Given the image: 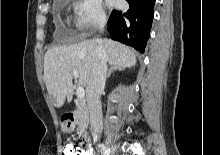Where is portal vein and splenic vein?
Instances as JSON below:
<instances>
[{
  "instance_id": "obj_1",
  "label": "portal vein and splenic vein",
  "mask_w": 220,
  "mask_h": 155,
  "mask_svg": "<svg viewBox=\"0 0 220 155\" xmlns=\"http://www.w3.org/2000/svg\"><path fill=\"white\" fill-rule=\"evenodd\" d=\"M72 74H73V76H74L75 78H78V77H79V73H78L76 70L73 71ZM76 94H77V97H78L80 100H82V99L84 98V96H85V90H84V88H83L82 86H78Z\"/></svg>"
}]
</instances>
